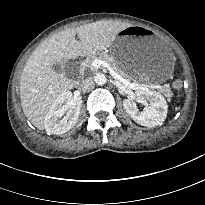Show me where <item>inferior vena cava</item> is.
<instances>
[{"instance_id": "inferior-vena-cava-1", "label": "inferior vena cava", "mask_w": 205, "mask_h": 205, "mask_svg": "<svg viewBox=\"0 0 205 205\" xmlns=\"http://www.w3.org/2000/svg\"><path fill=\"white\" fill-rule=\"evenodd\" d=\"M93 86V80L92 78H87L84 80V82L81 85L82 90H88Z\"/></svg>"}]
</instances>
